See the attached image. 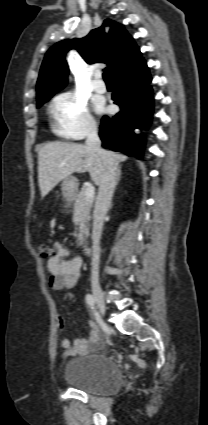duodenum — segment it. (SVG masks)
<instances>
[{"label": "duodenum", "instance_id": "410a0bca", "mask_svg": "<svg viewBox=\"0 0 208 425\" xmlns=\"http://www.w3.org/2000/svg\"><path fill=\"white\" fill-rule=\"evenodd\" d=\"M82 252H83L84 255H90L91 254V248L87 245H84L82 247Z\"/></svg>", "mask_w": 208, "mask_h": 425}]
</instances>
